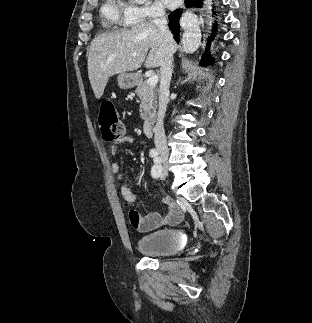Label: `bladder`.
<instances>
[{
  "label": "bladder",
  "instance_id": "31cf9c89",
  "mask_svg": "<svg viewBox=\"0 0 312 323\" xmlns=\"http://www.w3.org/2000/svg\"><path fill=\"white\" fill-rule=\"evenodd\" d=\"M137 248L143 252L144 256L169 257L179 250L178 232L172 229H161L140 236Z\"/></svg>",
  "mask_w": 312,
  "mask_h": 323
}]
</instances>
